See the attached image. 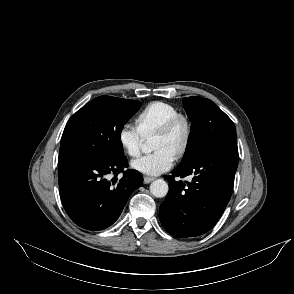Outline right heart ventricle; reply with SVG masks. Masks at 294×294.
I'll list each match as a JSON object with an SVG mask.
<instances>
[{"mask_svg": "<svg viewBox=\"0 0 294 294\" xmlns=\"http://www.w3.org/2000/svg\"><path fill=\"white\" fill-rule=\"evenodd\" d=\"M179 114L175 106L163 101H154L139 112L136 121L142 134L147 136L155 133L165 122Z\"/></svg>", "mask_w": 294, "mask_h": 294, "instance_id": "e07e8e85", "label": "right heart ventricle"}]
</instances>
